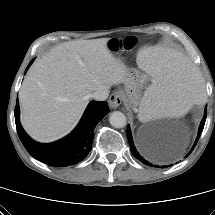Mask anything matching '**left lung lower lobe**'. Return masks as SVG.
<instances>
[{
	"label": "left lung lower lobe",
	"instance_id": "obj_1",
	"mask_svg": "<svg viewBox=\"0 0 215 215\" xmlns=\"http://www.w3.org/2000/svg\"><path fill=\"white\" fill-rule=\"evenodd\" d=\"M206 116H207V110L205 109V113H204V117L201 121V124H200V127H199V131H198V136L196 138V141L194 143V146L193 148L195 147V145L197 144L198 140H199V137L203 131V128H204V124H205V121H206ZM127 137H128V141H129V144H130V149H131V152L132 154L134 155L135 158H137L138 160H140L142 163L146 164V165H149L151 167H156L155 165H153L152 163H150L149 161H147L135 148L134 146V143H133V139H132V134H131V131H130V127L128 125V128H127ZM193 148L191 149V151L188 153V155L192 152ZM187 155V156H188ZM166 166H162V168H165Z\"/></svg>",
	"mask_w": 215,
	"mask_h": 215
}]
</instances>
